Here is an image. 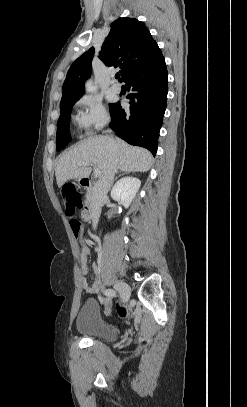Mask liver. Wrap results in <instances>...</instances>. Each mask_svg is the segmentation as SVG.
<instances>
[{"mask_svg":"<svg viewBox=\"0 0 247 407\" xmlns=\"http://www.w3.org/2000/svg\"><path fill=\"white\" fill-rule=\"evenodd\" d=\"M111 157L117 162V167L126 172H146L153 164L151 153L141 147L130 146L118 138L97 136L82 141L73 149L65 152L57 162L55 176L58 187L70 179L86 178L94 164L100 171L99 176L107 170ZM81 163H88L81 166Z\"/></svg>","mask_w":247,"mask_h":407,"instance_id":"1","label":"liver"}]
</instances>
